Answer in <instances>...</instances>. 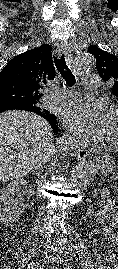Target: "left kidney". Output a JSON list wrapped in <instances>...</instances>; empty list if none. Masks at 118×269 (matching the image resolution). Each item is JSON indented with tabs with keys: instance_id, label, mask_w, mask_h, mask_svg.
Masks as SVG:
<instances>
[{
	"instance_id": "obj_1",
	"label": "left kidney",
	"mask_w": 118,
	"mask_h": 269,
	"mask_svg": "<svg viewBox=\"0 0 118 269\" xmlns=\"http://www.w3.org/2000/svg\"><path fill=\"white\" fill-rule=\"evenodd\" d=\"M101 194L100 210L98 212L97 221L104 223L111 216L114 210V200H112L110 190L108 188L98 189Z\"/></svg>"
}]
</instances>
